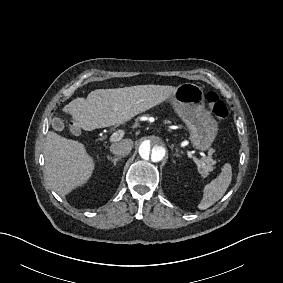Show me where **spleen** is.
Wrapping results in <instances>:
<instances>
[{
  "instance_id": "1",
  "label": "spleen",
  "mask_w": 283,
  "mask_h": 283,
  "mask_svg": "<svg viewBox=\"0 0 283 283\" xmlns=\"http://www.w3.org/2000/svg\"><path fill=\"white\" fill-rule=\"evenodd\" d=\"M232 180V167L224 164L220 175L204 187L203 198L198 205L200 210H205L220 200L225 194Z\"/></svg>"
}]
</instances>
